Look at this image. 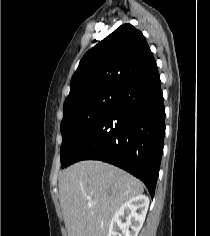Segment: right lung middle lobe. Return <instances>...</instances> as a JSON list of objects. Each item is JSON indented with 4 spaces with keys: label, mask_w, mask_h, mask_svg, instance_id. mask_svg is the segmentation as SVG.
<instances>
[{
    "label": "right lung middle lobe",
    "mask_w": 210,
    "mask_h": 236,
    "mask_svg": "<svg viewBox=\"0 0 210 236\" xmlns=\"http://www.w3.org/2000/svg\"><path fill=\"white\" fill-rule=\"evenodd\" d=\"M119 92H107L79 102L64 112L61 122V164L65 167L102 118L113 108Z\"/></svg>",
    "instance_id": "1"
}]
</instances>
